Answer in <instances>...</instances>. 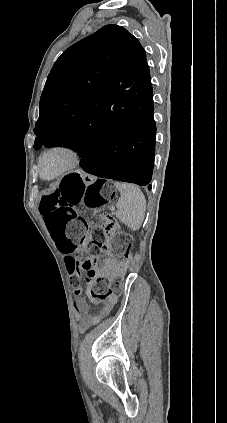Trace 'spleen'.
<instances>
[{
  "mask_svg": "<svg viewBox=\"0 0 227 423\" xmlns=\"http://www.w3.org/2000/svg\"><path fill=\"white\" fill-rule=\"evenodd\" d=\"M121 196L116 204V217L128 225L132 231L139 229L145 217L146 200L140 188L134 184H116Z\"/></svg>",
  "mask_w": 227,
  "mask_h": 423,
  "instance_id": "spleen-1",
  "label": "spleen"
}]
</instances>
